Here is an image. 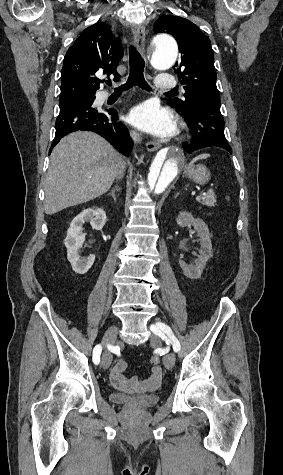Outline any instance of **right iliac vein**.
Wrapping results in <instances>:
<instances>
[{
    "label": "right iliac vein",
    "mask_w": 283,
    "mask_h": 475,
    "mask_svg": "<svg viewBox=\"0 0 283 475\" xmlns=\"http://www.w3.org/2000/svg\"><path fill=\"white\" fill-rule=\"evenodd\" d=\"M118 333V328L115 325L110 326L104 333L102 343L104 347H107L110 344H113L116 340ZM112 362V355L106 349L101 358V366L103 369H107Z\"/></svg>",
    "instance_id": "obj_1"
}]
</instances>
